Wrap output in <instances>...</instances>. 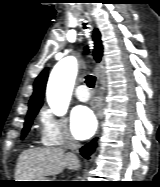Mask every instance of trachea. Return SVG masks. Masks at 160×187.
Segmentation results:
<instances>
[{
  "label": "trachea",
  "instance_id": "trachea-1",
  "mask_svg": "<svg viewBox=\"0 0 160 187\" xmlns=\"http://www.w3.org/2000/svg\"><path fill=\"white\" fill-rule=\"evenodd\" d=\"M83 27L86 29L87 27H86V23H83ZM85 79H86V84H87V86L88 87H90V88H94V86H95V81H96V78H95V76H93V75H87L86 77H85Z\"/></svg>",
  "mask_w": 160,
  "mask_h": 187
}]
</instances>
